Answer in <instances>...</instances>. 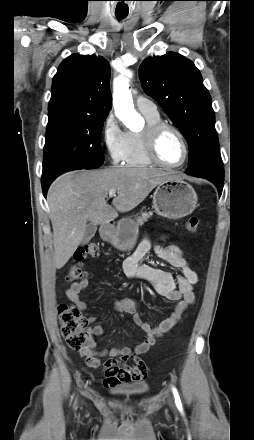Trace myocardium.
<instances>
[{
    "mask_svg": "<svg viewBox=\"0 0 254 440\" xmlns=\"http://www.w3.org/2000/svg\"><path fill=\"white\" fill-rule=\"evenodd\" d=\"M166 130L173 131L175 134L178 135V137L180 138V140L182 142V145L184 148V157H183V160L179 164H175V165L167 164L159 156V153H158L159 138H160L161 134ZM144 137H145L146 154L155 165H158V166H161L164 168H168V169H175V168L182 167L186 163V161L188 160V157H189L188 141H187L184 133L175 125L168 123V122H164V121H160L158 123L148 125L144 130Z\"/></svg>",
    "mask_w": 254,
    "mask_h": 440,
    "instance_id": "f54148a6",
    "label": "myocardium"
}]
</instances>
